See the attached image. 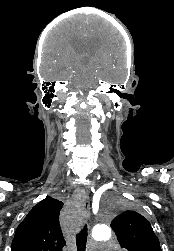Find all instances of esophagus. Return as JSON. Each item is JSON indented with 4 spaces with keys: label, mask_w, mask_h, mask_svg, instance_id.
Here are the masks:
<instances>
[{
    "label": "esophagus",
    "mask_w": 174,
    "mask_h": 251,
    "mask_svg": "<svg viewBox=\"0 0 174 251\" xmlns=\"http://www.w3.org/2000/svg\"><path fill=\"white\" fill-rule=\"evenodd\" d=\"M81 203H82L81 215L83 219H86L90 215V200H89V195L86 191H84L81 195Z\"/></svg>",
    "instance_id": "1"
}]
</instances>
